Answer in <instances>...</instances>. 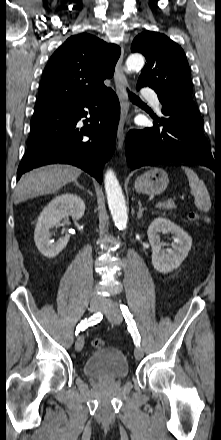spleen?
I'll return each instance as SVG.
<instances>
[{"instance_id":"spleen-1","label":"spleen","mask_w":221,"mask_h":440,"mask_svg":"<svg viewBox=\"0 0 221 440\" xmlns=\"http://www.w3.org/2000/svg\"><path fill=\"white\" fill-rule=\"evenodd\" d=\"M187 175L190 192L195 198V206L203 212H208L211 208V199L208 190L198 175L189 167H182Z\"/></svg>"}]
</instances>
